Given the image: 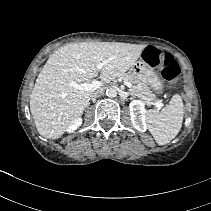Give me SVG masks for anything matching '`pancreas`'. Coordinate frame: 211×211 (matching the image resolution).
Masks as SVG:
<instances>
[{
  "mask_svg": "<svg viewBox=\"0 0 211 211\" xmlns=\"http://www.w3.org/2000/svg\"><path fill=\"white\" fill-rule=\"evenodd\" d=\"M123 80L129 81L133 84L130 92L143 100L145 103L150 104L151 101L155 100V94L150 90L147 84L139 81L133 74L131 73H124L120 76Z\"/></svg>",
  "mask_w": 211,
  "mask_h": 211,
  "instance_id": "1",
  "label": "pancreas"
}]
</instances>
